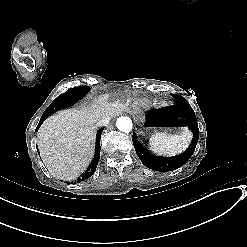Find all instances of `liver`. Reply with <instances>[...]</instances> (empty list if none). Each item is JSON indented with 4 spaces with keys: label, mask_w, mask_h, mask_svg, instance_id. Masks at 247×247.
I'll list each match as a JSON object with an SVG mask.
<instances>
[{
    "label": "liver",
    "mask_w": 247,
    "mask_h": 247,
    "mask_svg": "<svg viewBox=\"0 0 247 247\" xmlns=\"http://www.w3.org/2000/svg\"><path fill=\"white\" fill-rule=\"evenodd\" d=\"M122 110L105 94L90 106L60 110L49 116L37 133L40 156L49 173L64 181L83 173L94 156L96 123Z\"/></svg>",
    "instance_id": "1"
}]
</instances>
